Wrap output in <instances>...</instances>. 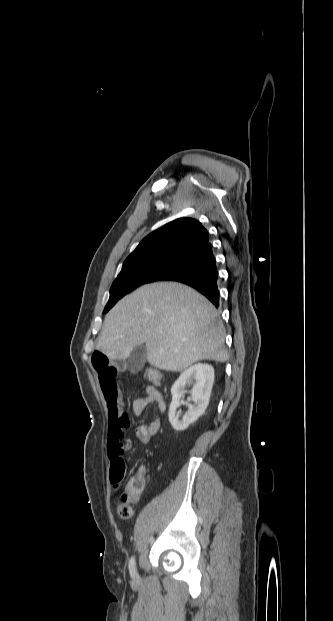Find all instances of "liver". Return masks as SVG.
<instances>
[{
    "instance_id": "1",
    "label": "liver",
    "mask_w": 333,
    "mask_h": 621,
    "mask_svg": "<svg viewBox=\"0 0 333 621\" xmlns=\"http://www.w3.org/2000/svg\"><path fill=\"white\" fill-rule=\"evenodd\" d=\"M225 331L215 307L176 282L142 286L106 315L96 349L111 360L127 359L145 344L148 362L183 371L199 360L225 362Z\"/></svg>"
}]
</instances>
